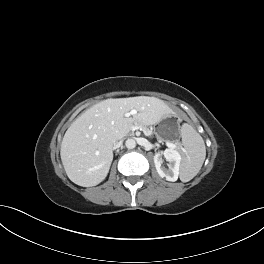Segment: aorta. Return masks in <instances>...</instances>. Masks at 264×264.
Returning <instances> with one entry per match:
<instances>
[{
	"label": "aorta",
	"mask_w": 264,
	"mask_h": 264,
	"mask_svg": "<svg viewBox=\"0 0 264 264\" xmlns=\"http://www.w3.org/2000/svg\"><path fill=\"white\" fill-rule=\"evenodd\" d=\"M125 145L128 149H133L136 147V141L132 138L130 139H127L126 142H125Z\"/></svg>",
	"instance_id": "obj_1"
}]
</instances>
